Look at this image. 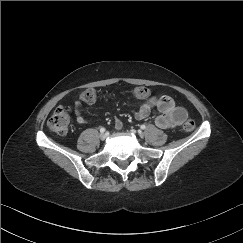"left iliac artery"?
<instances>
[{"instance_id": "obj_1", "label": "left iliac artery", "mask_w": 243, "mask_h": 243, "mask_svg": "<svg viewBox=\"0 0 243 243\" xmlns=\"http://www.w3.org/2000/svg\"><path fill=\"white\" fill-rule=\"evenodd\" d=\"M140 128L144 130V129H146V126L143 124L140 126Z\"/></svg>"}]
</instances>
